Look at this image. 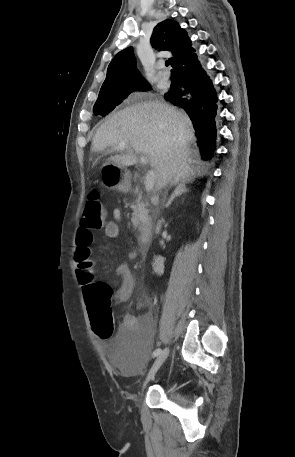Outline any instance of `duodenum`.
<instances>
[{"label":"duodenum","instance_id":"1","mask_svg":"<svg viewBox=\"0 0 295 457\" xmlns=\"http://www.w3.org/2000/svg\"><path fill=\"white\" fill-rule=\"evenodd\" d=\"M153 238V231L151 226L144 228L140 235V249L143 254H146L150 248Z\"/></svg>","mask_w":295,"mask_h":457}]
</instances>
